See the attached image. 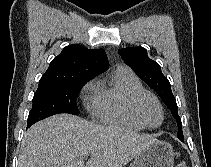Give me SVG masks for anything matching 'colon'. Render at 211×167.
Returning a JSON list of instances; mask_svg holds the SVG:
<instances>
[{"instance_id":"1","label":"colon","mask_w":211,"mask_h":167,"mask_svg":"<svg viewBox=\"0 0 211 167\" xmlns=\"http://www.w3.org/2000/svg\"><path fill=\"white\" fill-rule=\"evenodd\" d=\"M176 167H188V166L185 162H180V163L177 164Z\"/></svg>"}]
</instances>
